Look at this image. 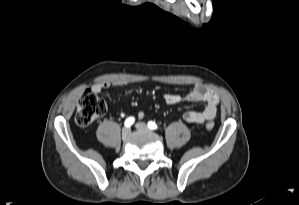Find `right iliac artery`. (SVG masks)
I'll return each mask as SVG.
<instances>
[{
    "label": "right iliac artery",
    "mask_w": 299,
    "mask_h": 205,
    "mask_svg": "<svg viewBox=\"0 0 299 205\" xmlns=\"http://www.w3.org/2000/svg\"><path fill=\"white\" fill-rule=\"evenodd\" d=\"M134 121H135L134 117L127 118L124 124L125 127H130L134 123Z\"/></svg>",
    "instance_id": "1"
}]
</instances>
